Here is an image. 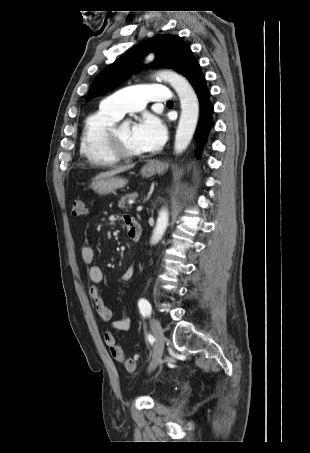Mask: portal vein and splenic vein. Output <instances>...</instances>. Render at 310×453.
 <instances>
[{"label":"portal vein and splenic vein","instance_id":"18ae733b","mask_svg":"<svg viewBox=\"0 0 310 453\" xmlns=\"http://www.w3.org/2000/svg\"><path fill=\"white\" fill-rule=\"evenodd\" d=\"M129 203H130V204H133L134 201L130 200ZM141 210H142V206H138V207H137V211H141Z\"/></svg>","mask_w":310,"mask_h":453}]
</instances>
